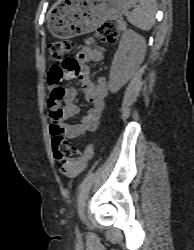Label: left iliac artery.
Masks as SVG:
<instances>
[{
    "instance_id": "left-iliac-artery-1",
    "label": "left iliac artery",
    "mask_w": 194,
    "mask_h": 250,
    "mask_svg": "<svg viewBox=\"0 0 194 250\" xmlns=\"http://www.w3.org/2000/svg\"><path fill=\"white\" fill-rule=\"evenodd\" d=\"M75 231H76L77 235H79L78 226H76Z\"/></svg>"
}]
</instances>
